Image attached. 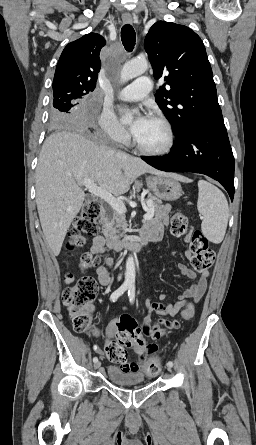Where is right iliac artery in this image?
Returning a JSON list of instances; mask_svg holds the SVG:
<instances>
[{"mask_svg":"<svg viewBox=\"0 0 256 445\" xmlns=\"http://www.w3.org/2000/svg\"><path fill=\"white\" fill-rule=\"evenodd\" d=\"M129 289V285L127 284H123L121 285L116 291H114L111 296H110V300L112 302H115L125 291H127ZM98 358L94 357L93 358V362H97Z\"/></svg>","mask_w":256,"mask_h":445,"instance_id":"right-iliac-artery-1","label":"right iliac artery"}]
</instances>
